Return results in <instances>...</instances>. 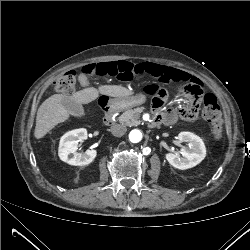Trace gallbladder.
I'll list each match as a JSON object with an SVG mask.
<instances>
[{"mask_svg":"<svg viewBox=\"0 0 250 250\" xmlns=\"http://www.w3.org/2000/svg\"><path fill=\"white\" fill-rule=\"evenodd\" d=\"M61 104L64 107V109L73 116L83 117L85 115L82 104L76 102L75 100L71 98H68V97L63 98L61 100Z\"/></svg>","mask_w":250,"mask_h":250,"instance_id":"bac80fb5","label":"gallbladder"}]
</instances>
